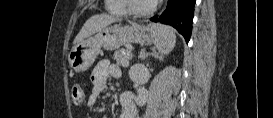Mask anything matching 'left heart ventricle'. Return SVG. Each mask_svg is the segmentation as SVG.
Returning a JSON list of instances; mask_svg holds the SVG:
<instances>
[{"mask_svg": "<svg viewBox=\"0 0 273 118\" xmlns=\"http://www.w3.org/2000/svg\"><path fill=\"white\" fill-rule=\"evenodd\" d=\"M133 4L137 10H144L150 6V2L147 0H134Z\"/></svg>", "mask_w": 273, "mask_h": 118, "instance_id": "left-heart-ventricle-1", "label": "left heart ventricle"}]
</instances>
